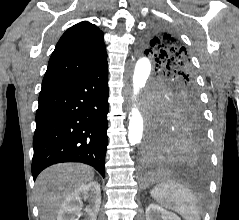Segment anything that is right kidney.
Returning <instances> with one entry per match:
<instances>
[{"label": "right kidney", "instance_id": "1", "mask_svg": "<svg viewBox=\"0 0 239 220\" xmlns=\"http://www.w3.org/2000/svg\"><path fill=\"white\" fill-rule=\"evenodd\" d=\"M82 199L89 202L84 209V220H96L101 204L100 185L96 181L83 184L72 191L62 203L57 220H78Z\"/></svg>", "mask_w": 239, "mask_h": 220}]
</instances>
